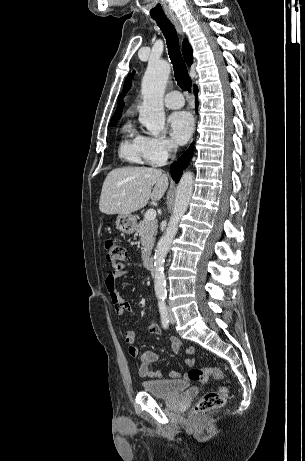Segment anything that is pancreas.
<instances>
[{"mask_svg":"<svg viewBox=\"0 0 305 461\" xmlns=\"http://www.w3.org/2000/svg\"><path fill=\"white\" fill-rule=\"evenodd\" d=\"M158 224L156 220L143 219L136 227L135 236H140L142 244V257L146 258L150 255L154 246L155 238L157 235Z\"/></svg>","mask_w":305,"mask_h":461,"instance_id":"obj_1","label":"pancreas"}]
</instances>
